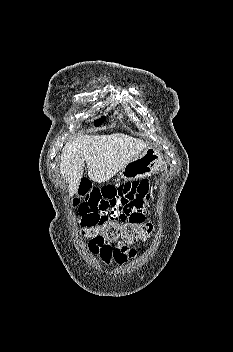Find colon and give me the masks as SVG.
Wrapping results in <instances>:
<instances>
[{
	"mask_svg": "<svg viewBox=\"0 0 233 352\" xmlns=\"http://www.w3.org/2000/svg\"><path fill=\"white\" fill-rule=\"evenodd\" d=\"M82 225L83 237L100 241H115L124 245L143 241L150 237L153 226L148 223L118 222L114 219L91 221Z\"/></svg>",
	"mask_w": 233,
	"mask_h": 352,
	"instance_id": "obj_1",
	"label": "colon"
}]
</instances>
